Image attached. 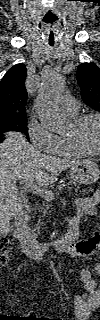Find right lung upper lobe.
Segmentation results:
<instances>
[{
	"mask_svg": "<svg viewBox=\"0 0 100 320\" xmlns=\"http://www.w3.org/2000/svg\"><path fill=\"white\" fill-rule=\"evenodd\" d=\"M26 67L24 64L13 66L0 81V120L26 117L25 102L27 92L24 81Z\"/></svg>",
	"mask_w": 100,
	"mask_h": 320,
	"instance_id": "obj_1",
	"label": "right lung upper lobe"
}]
</instances>
